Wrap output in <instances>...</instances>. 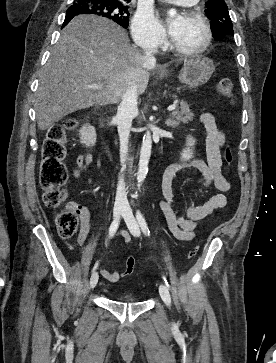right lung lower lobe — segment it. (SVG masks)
<instances>
[{
    "mask_svg": "<svg viewBox=\"0 0 276 363\" xmlns=\"http://www.w3.org/2000/svg\"><path fill=\"white\" fill-rule=\"evenodd\" d=\"M74 17V16H73ZM73 17H71V16H66L65 17V21H64V23H63V26L62 27H64L65 25H67L68 24V22L73 18Z\"/></svg>",
    "mask_w": 276,
    "mask_h": 363,
    "instance_id": "1",
    "label": "right lung lower lobe"
}]
</instances>
